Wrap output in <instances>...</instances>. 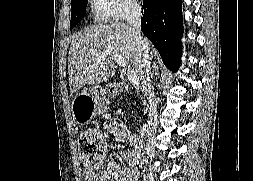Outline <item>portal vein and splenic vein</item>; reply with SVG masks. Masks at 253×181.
Instances as JSON below:
<instances>
[{
  "label": "portal vein and splenic vein",
  "mask_w": 253,
  "mask_h": 181,
  "mask_svg": "<svg viewBox=\"0 0 253 181\" xmlns=\"http://www.w3.org/2000/svg\"><path fill=\"white\" fill-rule=\"evenodd\" d=\"M109 56H111L121 67L125 68L128 65L127 60L119 54L103 53V54L99 55V58H105V57H109ZM126 75H127V79L130 81V83H132L133 85H136V86L139 85V78L133 69H131L130 67H127Z\"/></svg>",
  "instance_id": "obj_1"
}]
</instances>
